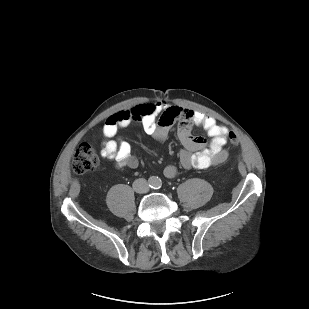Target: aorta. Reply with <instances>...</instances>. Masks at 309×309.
Listing matches in <instances>:
<instances>
[{"label":"aorta","instance_id":"obj_1","mask_svg":"<svg viewBox=\"0 0 309 309\" xmlns=\"http://www.w3.org/2000/svg\"><path fill=\"white\" fill-rule=\"evenodd\" d=\"M149 184L150 186L154 187V188H158L161 186L162 182L161 179L157 176H151L149 178Z\"/></svg>","mask_w":309,"mask_h":309}]
</instances>
